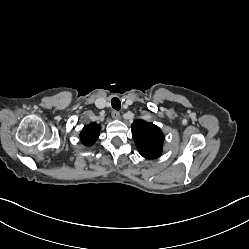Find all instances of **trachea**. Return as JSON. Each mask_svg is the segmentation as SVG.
Segmentation results:
<instances>
[{
    "label": "trachea",
    "mask_w": 249,
    "mask_h": 249,
    "mask_svg": "<svg viewBox=\"0 0 249 249\" xmlns=\"http://www.w3.org/2000/svg\"><path fill=\"white\" fill-rule=\"evenodd\" d=\"M112 108L115 110H120L121 102L117 97L112 98L111 100Z\"/></svg>",
    "instance_id": "trachea-1"
}]
</instances>
